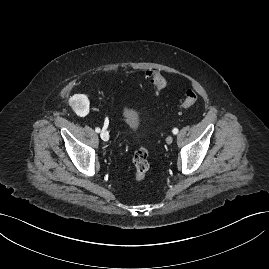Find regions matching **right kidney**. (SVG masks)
Listing matches in <instances>:
<instances>
[{
	"mask_svg": "<svg viewBox=\"0 0 269 269\" xmlns=\"http://www.w3.org/2000/svg\"><path fill=\"white\" fill-rule=\"evenodd\" d=\"M69 103L80 115H86L89 112V99L84 94H75L69 99Z\"/></svg>",
	"mask_w": 269,
	"mask_h": 269,
	"instance_id": "obj_1",
	"label": "right kidney"
}]
</instances>
